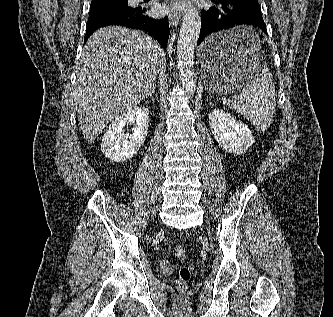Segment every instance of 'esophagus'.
Masks as SVG:
<instances>
[{"label":"esophagus","instance_id":"1","mask_svg":"<svg viewBox=\"0 0 333 317\" xmlns=\"http://www.w3.org/2000/svg\"><path fill=\"white\" fill-rule=\"evenodd\" d=\"M181 15H182L181 11L173 7L169 14L170 24L172 26H176L181 19Z\"/></svg>","mask_w":333,"mask_h":317}]
</instances>
